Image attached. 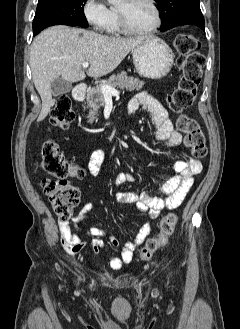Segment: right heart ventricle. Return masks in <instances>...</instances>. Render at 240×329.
Segmentation results:
<instances>
[{
    "label": "right heart ventricle",
    "instance_id": "e07e8e85",
    "mask_svg": "<svg viewBox=\"0 0 240 329\" xmlns=\"http://www.w3.org/2000/svg\"><path fill=\"white\" fill-rule=\"evenodd\" d=\"M109 11H110V19L105 30L110 34H118L120 33V27H119L117 10L115 8H111Z\"/></svg>",
    "mask_w": 240,
    "mask_h": 329
}]
</instances>
